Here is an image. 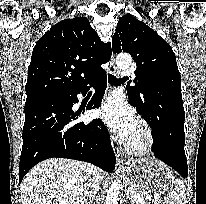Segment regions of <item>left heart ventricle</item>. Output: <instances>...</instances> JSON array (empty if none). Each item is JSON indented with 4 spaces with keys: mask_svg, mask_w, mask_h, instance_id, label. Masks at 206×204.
Here are the masks:
<instances>
[{
    "mask_svg": "<svg viewBox=\"0 0 206 204\" xmlns=\"http://www.w3.org/2000/svg\"><path fill=\"white\" fill-rule=\"evenodd\" d=\"M140 138V131H139V128L138 126L136 125L132 135L130 136L129 139L131 140H138Z\"/></svg>",
    "mask_w": 206,
    "mask_h": 204,
    "instance_id": "1",
    "label": "left heart ventricle"
}]
</instances>
